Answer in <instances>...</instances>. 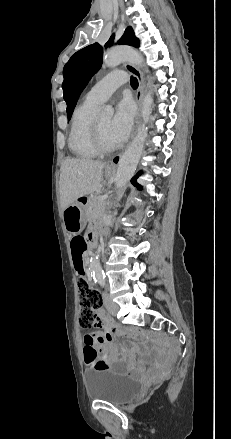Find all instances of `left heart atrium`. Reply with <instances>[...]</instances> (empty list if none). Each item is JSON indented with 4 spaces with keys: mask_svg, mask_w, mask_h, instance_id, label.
<instances>
[{
    "mask_svg": "<svg viewBox=\"0 0 231 439\" xmlns=\"http://www.w3.org/2000/svg\"><path fill=\"white\" fill-rule=\"evenodd\" d=\"M133 125V108L129 101L122 100L116 107L110 123V135L115 143H123L130 134Z\"/></svg>",
    "mask_w": 231,
    "mask_h": 439,
    "instance_id": "left-heart-atrium-1",
    "label": "left heart atrium"
}]
</instances>
